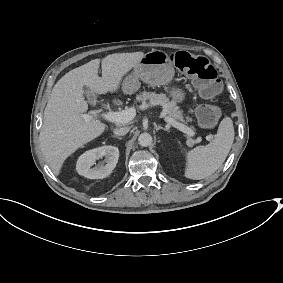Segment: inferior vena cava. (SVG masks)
<instances>
[{"instance_id": "obj_1", "label": "inferior vena cava", "mask_w": 283, "mask_h": 283, "mask_svg": "<svg viewBox=\"0 0 283 283\" xmlns=\"http://www.w3.org/2000/svg\"><path fill=\"white\" fill-rule=\"evenodd\" d=\"M129 130H130L129 127H121V128H115L113 132L118 136H123L126 135L129 132Z\"/></svg>"}]
</instances>
